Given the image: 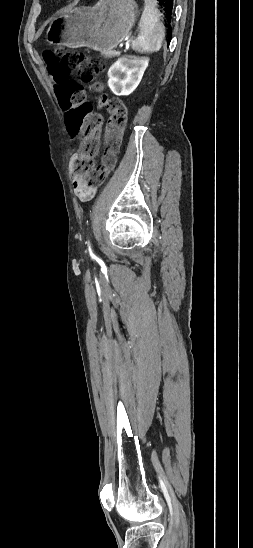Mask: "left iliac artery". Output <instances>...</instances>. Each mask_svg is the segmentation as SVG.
<instances>
[{
    "label": "left iliac artery",
    "instance_id": "44dca946",
    "mask_svg": "<svg viewBox=\"0 0 253 548\" xmlns=\"http://www.w3.org/2000/svg\"><path fill=\"white\" fill-rule=\"evenodd\" d=\"M89 252H90V255H91L92 257H95L94 254L92 253V250H91L90 245H89Z\"/></svg>",
    "mask_w": 253,
    "mask_h": 548
}]
</instances>
